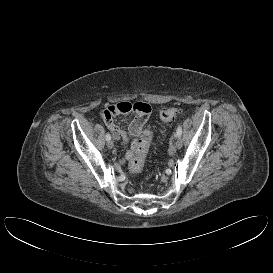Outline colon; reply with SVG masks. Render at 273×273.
<instances>
[{
    "label": "colon",
    "mask_w": 273,
    "mask_h": 273,
    "mask_svg": "<svg viewBox=\"0 0 273 273\" xmlns=\"http://www.w3.org/2000/svg\"><path fill=\"white\" fill-rule=\"evenodd\" d=\"M180 113V110L175 107L164 108L160 112V118L164 122H170L176 118ZM151 132L149 129H145L143 137L137 141L133 155L129 161V170L132 173H139L144 166L146 154L149 148Z\"/></svg>",
    "instance_id": "1"
}]
</instances>
